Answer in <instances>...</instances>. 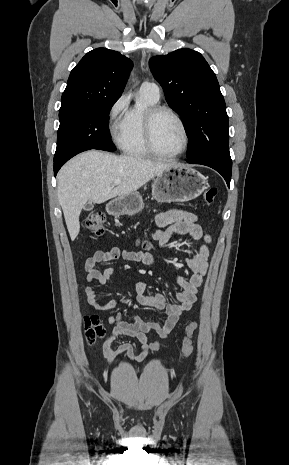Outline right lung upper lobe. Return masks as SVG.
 <instances>
[{"mask_svg":"<svg viewBox=\"0 0 289 465\" xmlns=\"http://www.w3.org/2000/svg\"><path fill=\"white\" fill-rule=\"evenodd\" d=\"M131 68L132 61L116 51L97 48L88 52L70 73L60 110L118 100Z\"/></svg>","mask_w":289,"mask_h":465,"instance_id":"obj_1","label":"right lung upper lobe"}]
</instances>
